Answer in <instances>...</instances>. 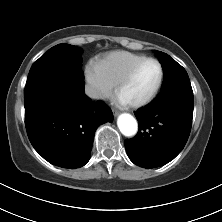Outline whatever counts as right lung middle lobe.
<instances>
[{
	"mask_svg": "<svg viewBox=\"0 0 222 222\" xmlns=\"http://www.w3.org/2000/svg\"><path fill=\"white\" fill-rule=\"evenodd\" d=\"M81 49L58 44L32 65L27 78L24 103L50 99L73 102L84 87Z\"/></svg>",
	"mask_w": 222,
	"mask_h": 222,
	"instance_id": "1",
	"label": "right lung middle lobe"
}]
</instances>
